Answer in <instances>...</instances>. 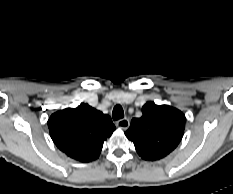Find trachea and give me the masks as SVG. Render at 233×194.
Here are the masks:
<instances>
[{
  "mask_svg": "<svg viewBox=\"0 0 233 194\" xmlns=\"http://www.w3.org/2000/svg\"><path fill=\"white\" fill-rule=\"evenodd\" d=\"M112 117H113V120H119L124 117V111H123L122 106L116 105L114 107L113 112H112Z\"/></svg>",
  "mask_w": 233,
  "mask_h": 194,
  "instance_id": "1",
  "label": "trachea"
}]
</instances>
